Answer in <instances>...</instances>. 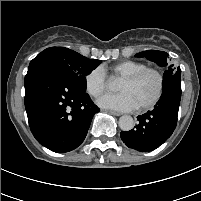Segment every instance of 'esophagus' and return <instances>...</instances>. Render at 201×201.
Wrapping results in <instances>:
<instances>
[{
    "instance_id": "obj_1",
    "label": "esophagus",
    "mask_w": 201,
    "mask_h": 201,
    "mask_svg": "<svg viewBox=\"0 0 201 201\" xmlns=\"http://www.w3.org/2000/svg\"><path fill=\"white\" fill-rule=\"evenodd\" d=\"M107 113L114 115V116H120L121 114L115 111H106Z\"/></svg>"
}]
</instances>
